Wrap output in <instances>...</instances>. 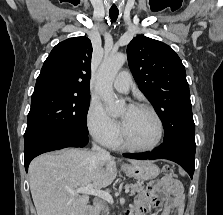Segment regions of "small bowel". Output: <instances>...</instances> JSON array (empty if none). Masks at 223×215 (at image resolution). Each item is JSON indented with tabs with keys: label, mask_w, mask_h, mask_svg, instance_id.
Instances as JSON below:
<instances>
[{
	"label": "small bowel",
	"mask_w": 223,
	"mask_h": 215,
	"mask_svg": "<svg viewBox=\"0 0 223 215\" xmlns=\"http://www.w3.org/2000/svg\"><path fill=\"white\" fill-rule=\"evenodd\" d=\"M182 191L181 183L169 177L151 182L128 215H145L154 206H163L161 215H179L184 206Z\"/></svg>",
	"instance_id": "c3829d8e"
}]
</instances>
